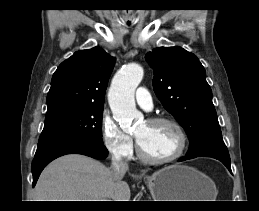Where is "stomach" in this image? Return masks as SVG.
Listing matches in <instances>:
<instances>
[{
	"mask_svg": "<svg viewBox=\"0 0 259 211\" xmlns=\"http://www.w3.org/2000/svg\"><path fill=\"white\" fill-rule=\"evenodd\" d=\"M146 182L154 201H214L217 194L209 177L183 165L165 167Z\"/></svg>",
	"mask_w": 259,
	"mask_h": 211,
	"instance_id": "stomach-1",
	"label": "stomach"
}]
</instances>
